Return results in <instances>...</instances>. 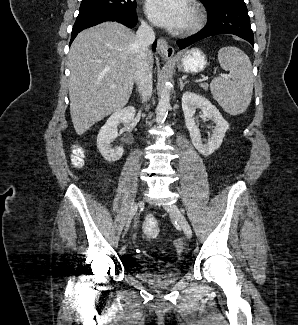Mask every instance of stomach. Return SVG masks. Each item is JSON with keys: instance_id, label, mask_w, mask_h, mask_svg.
Here are the masks:
<instances>
[{"instance_id": "0dacf381", "label": "stomach", "mask_w": 298, "mask_h": 325, "mask_svg": "<svg viewBox=\"0 0 298 325\" xmlns=\"http://www.w3.org/2000/svg\"><path fill=\"white\" fill-rule=\"evenodd\" d=\"M166 62H173L176 64L180 72H186V74H196V72H202L205 70L208 60L207 54L201 50V48H188V50H183L176 54L175 58H163Z\"/></svg>"}]
</instances>
